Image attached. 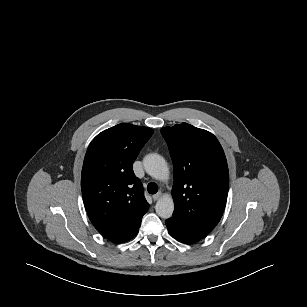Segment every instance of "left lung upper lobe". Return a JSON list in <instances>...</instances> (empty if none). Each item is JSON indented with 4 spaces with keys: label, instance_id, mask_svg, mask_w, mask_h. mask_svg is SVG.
Listing matches in <instances>:
<instances>
[{
    "label": "left lung upper lobe",
    "instance_id": "left-lung-upper-lobe-1",
    "mask_svg": "<svg viewBox=\"0 0 307 307\" xmlns=\"http://www.w3.org/2000/svg\"><path fill=\"white\" fill-rule=\"evenodd\" d=\"M174 165L172 220L187 231L205 237L225 209L229 172L224 151L210 132L187 123L164 127Z\"/></svg>",
    "mask_w": 307,
    "mask_h": 307
}]
</instances>
